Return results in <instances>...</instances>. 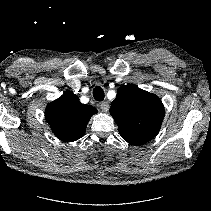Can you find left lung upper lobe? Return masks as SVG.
<instances>
[{
    "mask_svg": "<svg viewBox=\"0 0 211 211\" xmlns=\"http://www.w3.org/2000/svg\"><path fill=\"white\" fill-rule=\"evenodd\" d=\"M110 114L124 140L142 145L157 135L164 119V106L155 94L127 85L118 88Z\"/></svg>",
    "mask_w": 211,
    "mask_h": 211,
    "instance_id": "obj_1",
    "label": "left lung upper lobe"
}]
</instances>
